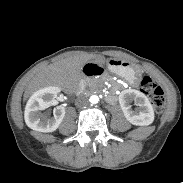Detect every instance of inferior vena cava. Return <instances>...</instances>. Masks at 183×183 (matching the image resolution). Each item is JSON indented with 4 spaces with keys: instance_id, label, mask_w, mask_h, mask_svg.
I'll return each instance as SVG.
<instances>
[{
    "instance_id": "inferior-vena-cava-1",
    "label": "inferior vena cava",
    "mask_w": 183,
    "mask_h": 183,
    "mask_svg": "<svg viewBox=\"0 0 183 183\" xmlns=\"http://www.w3.org/2000/svg\"><path fill=\"white\" fill-rule=\"evenodd\" d=\"M89 103L87 97L85 96H79L77 97V99L75 100V105L77 107H84V106H87Z\"/></svg>"
}]
</instances>
